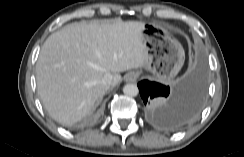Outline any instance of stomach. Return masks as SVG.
Masks as SVG:
<instances>
[{"mask_svg":"<svg viewBox=\"0 0 244 157\" xmlns=\"http://www.w3.org/2000/svg\"><path fill=\"white\" fill-rule=\"evenodd\" d=\"M143 43L147 56L143 66L159 82L171 81L181 70L185 51L181 43L165 28L157 24H144Z\"/></svg>","mask_w":244,"mask_h":157,"instance_id":"stomach-1","label":"stomach"}]
</instances>
